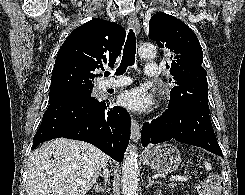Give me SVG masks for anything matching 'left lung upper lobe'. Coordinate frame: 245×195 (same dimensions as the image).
I'll return each instance as SVG.
<instances>
[{"label":"left lung upper lobe","instance_id":"left-lung-upper-lobe-1","mask_svg":"<svg viewBox=\"0 0 245 195\" xmlns=\"http://www.w3.org/2000/svg\"><path fill=\"white\" fill-rule=\"evenodd\" d=\"M149 38L172 52L170 69L174 87L169 106L196 104L208 107L206 71L201 66L203 52L196 34L174 16L157 13L149 21Z\"/></svg>","mask_w":245,"mask_h":195}]
</instances>
